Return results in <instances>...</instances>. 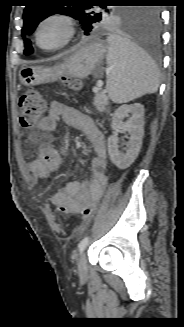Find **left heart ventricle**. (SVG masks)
<instances>
[{
    "instance_id": "1",
    "label": "left heart ventricle",
    "mask_w": 184,
    "mask_h": 327,
    "mask_svg": "<svg viewBox=\"0 0 184 327\" xmlns=\"http://www.w3.org/2000/svg\"><path fill=\"white\" fill-rule=\"evenodd\" d=\"M65 36V26L60 21H50L42 26L39 34L40 43L45 47L59 44Z\"/></svg>"
}]
</instances>
